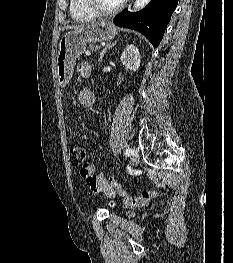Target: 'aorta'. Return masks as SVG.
Wrapping results in <instances>:
<instances>
[{"label": "aorta", "mask_w": 233, "mask_h": 263, "mask_svg": "<svg viewBox=\"0 0 233 263\" xmlns=\"http://www.w3.org/2000/svg\"><path fill=\"white\" fill-rule=\"evenodd\" d=\"M149 2H150V0H136L134 7H133V10L138 11V10L144 8Z\"/></svg>", "instance_id": "762f6f07"}]
</instances>
